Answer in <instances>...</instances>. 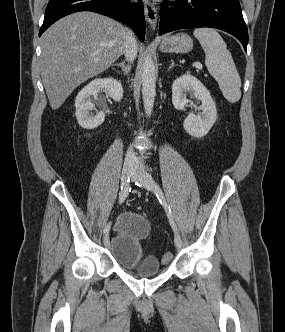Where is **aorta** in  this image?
<instances>
[{
	"label": "aorta",
	"mask_w": 285,
	"mask_h": 332,
	"mask_svg": "<svg viewBox=\"0 0 285 332\" xmlns=\"http://www.w3.org/2000/svg\"><path fill=\"white\" fill-rule=\"evenodd\" d=\"M156 75L155 65L150 55H146L142 67V96L144 110L150 115L154 106Z\"/></svg>",
	"instance_id": "762f6f07"
}]
</instances>
